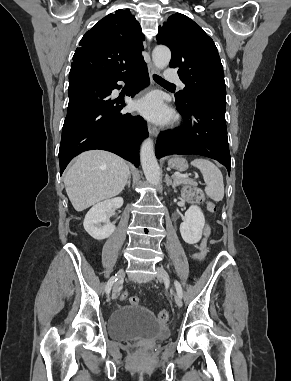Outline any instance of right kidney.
<instances>
[{
  "mask_svg": "<svg viewBox=\"0 0 291 381\" xmlns=\"http://www.w3.org/2000/svg\"><path fill=\"white\" fill-rule=\"evenodd\" d=\"M123 205V198L116 197L94 205L86 214L83 226L86 232L96 240L108 238L115 230V225L109 221L112 210Z\"/></svg>",
  "mask_w": 291,
  "mask_h": 381,
  "instance_id": "ca27d5eb",
  "label": "right kidney"
}]
</instances>
